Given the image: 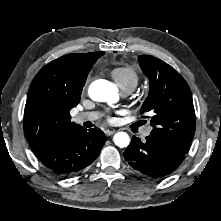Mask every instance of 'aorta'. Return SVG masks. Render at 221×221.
<instances>
[{"label":"aorta","instance_id":"aorta-1","mask_svg":"<svg viewBox=\"0 0 221 221\" xmlns=\"http://www.w3.org/2000/svg\"><path fill=\"white\" fill-rule=\"evenodd\" d=\"M88 93L92 100L99 102H110L117 98L116 88L104 79L92 82L89 86ZM113 141L115 145L122 148L129 145L130 138L126 132H118L114 135Z\"/></svg>","mask_w":221,"mask_h":221}]
</instances>
